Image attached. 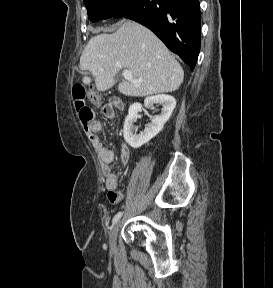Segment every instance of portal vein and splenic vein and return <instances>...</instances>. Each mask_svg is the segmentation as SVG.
Here are the masks:
<instances>
[{
    "mask_svg": "<svg viewBox=\"0 0 273 288\" xmlns=\"http://www.w3.org/2000/svg\"><path fill=\"white\" fill-rule=\"evenodd\" d=\"M122 75L123 77L126 79V80H131L132 81V72L130 70H124L122 72ZM140 81H135V83H139Z\"/></svg>",
    "mask_w": 273,
    "mask_h": 288,
    "instance_id": "18ae733b",
    "label": "portal vein and splenic vein"
}]
</instances>
